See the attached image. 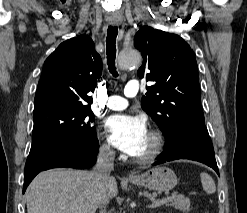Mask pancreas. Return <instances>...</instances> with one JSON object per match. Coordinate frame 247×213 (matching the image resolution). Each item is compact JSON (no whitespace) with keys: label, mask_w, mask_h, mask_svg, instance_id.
Listing matches in <instances>:
<instances>
[{"label":"pancreas","mask_w":247,"mask_h":213,"mask_svg":"<svg viewBox=\"0 0 247 213\" xmlns=\"http://www.w3.org/2000/svg\"><path fill=\"white\" fill-rule=\"evenodd\" d=\"M144 196L148 198H153L155 197V194L144 192ZM166 205L173 206L175 209L187 212L190 209V199L186 198L184 195L181 194H174L173 199L171 201H168Z\"/></svg>","instance_id":"cf45deb5"}]
</instances>
